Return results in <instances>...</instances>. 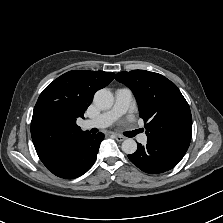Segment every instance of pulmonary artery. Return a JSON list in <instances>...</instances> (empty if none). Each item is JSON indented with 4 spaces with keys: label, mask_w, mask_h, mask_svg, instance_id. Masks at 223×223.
<instances>
[{
    "label": "pulmonary artery",
    "mask_w": 223,
    "mask_h": 223,
    "mask_svg": "<svg viewBox=\"0 0 223 223\" xmlns=\"http://www.w3.org/2000/svg\"><path fill=\"white\" fill-rule=\"evenodd\" d=\"M115 102L111 109L85 121L87 128H106L112 125L120 116L125 114L133 103V96L128 88H118L115 93ZM135 138L140 145L148 144L149 139L144 132L135 133Z\"/></svg>",
    "instance_id": "pulmonary-artery-1"
}]
</instances>
